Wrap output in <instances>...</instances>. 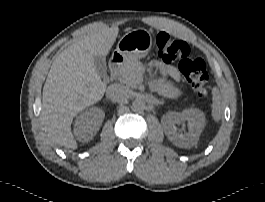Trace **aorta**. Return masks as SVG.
<instances>
[{
    "instance_id": "aorta-1",
    "label": "aorta",
    "mask_w": 265,
    "mask_h": 202,
    "mask_svg": "<svg viewBox=\"0 0 265 202\" xmlns=\"http://www.w3.org/2000/svg\"><path fill=\"white\" fill-rule=\"evenodd\" d=\"M145 107V102L141 99H135L131 105V108L134 112H143L145 110Z\"/></svg>"
}]
</instances>
